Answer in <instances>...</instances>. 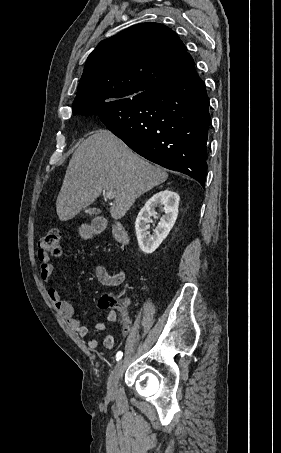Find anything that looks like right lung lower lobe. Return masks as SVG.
<instances>
[{"label":"right lung lower lobe","instance_id":"right-lung-lower-lobe-1","mask_svg":"<svg viewBox=\"0 0 281 453\" xmlns=\"http://www.w3.org/2000/svg\"><path fill=\"white\" fill-rule=\"evenodd\" d=\"M94 114L139 155L205 187L209 99L195 68L129 101L90 108L81 115Z\"/></svg>","mask_w":281,"mask_h":453}]
</instances>
